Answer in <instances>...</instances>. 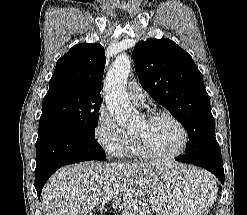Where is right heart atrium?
<instances>
[{
    "mask_svg": "<svg viewBox=\"0 0 247 215\" xmlns=\"http://www.w3.org/2000/svg\"><path fill=\"white\" fill-rule=\"evenodd\" d=\"M93 133L98 144L109 156H123L127 133L119 127L105 106H101L97 112Z\"/></svg>",
    "mask_w": 247,
    "mask_h": 215,
    "instance_id": "1",
    "label": "right heart atrium"
}]
</instances>
